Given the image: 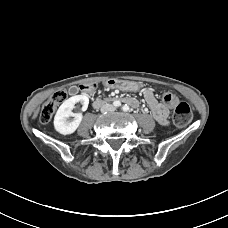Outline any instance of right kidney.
Listing matches in <instances>:
<instances>
[{
    "mask_svg": "<svg viewBox=\"0 0 228 228\" xmlns=\"http://www.w3.org/2000/svg\"><path fill=\"white\" fill-rule=\"evenodd\" d=\"M82 104V111H86L89 98L86 95L72 96L59 107L54 117V128L62 135H69L76 131L82 121V113H73L76 103ZM70 117H74L70 120Z\"/></svg>",
    "mask_w": 228,
    "mask_h": 228,
    "instance_id": "right-kidney-1",
    "label": "right kidney"
}]
</instances>
